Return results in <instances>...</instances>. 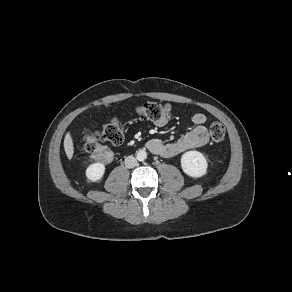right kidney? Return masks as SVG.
Returning <instances> with one entry per match:
<instances>
[{
    "label": "right kidney",
    "instance_id": "right-kidney-1",
    "mask_svg": "<svg viewBox=\"0 0 292 292\" xmlns=\"http://www.w3.org/2000/svg\"><path fill=\"white\" fill-rule=\"evenodd\" d=\"M105 173V165L103 163H93L86 169V177L91 182L101 180Z\"/></svg>",
    "mask_w": 292,
    "mask_h": 292
}]
</instances>
